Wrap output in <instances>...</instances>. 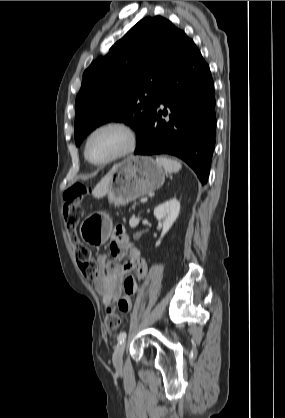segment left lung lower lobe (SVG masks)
I'll return each mask as SVG.
<instances>
[{
	"label": "left lung lower lobe",
	"instance_id": "0a47b994",
	"mask_svg": "<svg viewBox=\"0 0 285 418\" xmlns=\"http://www.w3.org/2000/svg\"><path fill=\"white\" fill-rule=\"evenodd\" d=\"M214 82L208 64L186 35L161 85L147 132L136 155L170 154L181 158L205 184L215 148ZM168 108L170 120L162 119ZM184 108V109H181Z\"/></svg>",
	"mask_w": 285,
	"mask_h": 418
}]
</instances>
